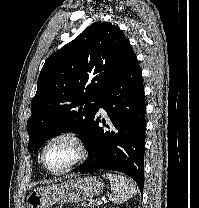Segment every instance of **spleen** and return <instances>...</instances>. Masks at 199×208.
Instances as JSON below:
<instances>
[{
  "label": "spleen",
  "instance_id": "spleen-1",
  "mask_svg": "<svg viewBox=\"0 0 199 208\" xmlns=\"http://www.w3.org/2000/svg\"><path fill=\"white\" fill-rule=\"evenodd\" d=\"M106 179L110 181L113 203H123L136 195V185L130 179L116 174H104Z\"/></svg>",
  "mask_w": 199,
  "mask_h": 208
}]
</instances>
